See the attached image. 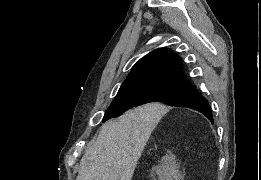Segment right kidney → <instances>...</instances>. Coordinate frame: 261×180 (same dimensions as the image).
Wrapping results in <instances>:
<instances>
[{
	"instance_id": "ca27d5eb",
	"label": "right kidney",
	"mask_w": 261,
	"mask_h": 180,
	"mask_svg": "<svg viewBox=\"0 0 261 180\" xmlns=\"http://www.w3.org/2000/svg\"><path fill=\"white\" fill-rule=\"evenodd\" d=\"M177 168L179 164H177L176 156H163L161 164L156 166L155 170L159 180H180V172Z\"/></svg>"
}]
</instances>
